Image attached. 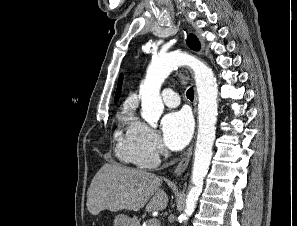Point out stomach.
Instances as JSON below:
<instances>
[{
	"instance_id": "obj_1",
	"label": "stomach",
	"mask_w": 297,
	"mask_h": 226,
	"mask_svg": "<svg viewBox=\"0 0 297 226\" xmlns=\"http://www.w3.org/2000/svg\"><path fill=\"white\" fill-rule=\"evenodd\" d=\"M114 226H139L138 220L124 214L115 217Z\"/></svg>"
}]
</instances>
